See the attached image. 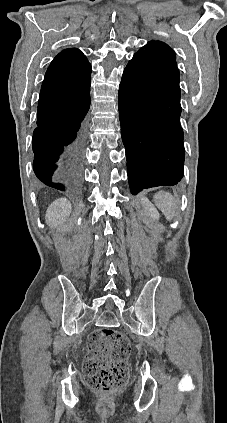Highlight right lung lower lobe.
I'll list each match as a JSON object with an SVG mask.
<instances>
[{"mask_svg":"<svg viewBox=\"0 0 227 423\" xmlns=\"http://www.w3.org/2000/svg\"><path fill=\"white\" fill-rule=\"evenodd\" d=\"M90 94L66 100L39 98L33 133V169L43 187L72 192L80 182Z\"/></svg>","mask_w":227,"mask_h":423,"instance_id":"98d812e1","label":"right lung lower lobe"}]
</instances>
